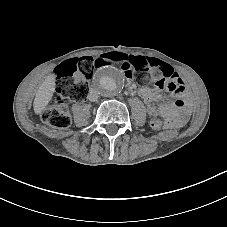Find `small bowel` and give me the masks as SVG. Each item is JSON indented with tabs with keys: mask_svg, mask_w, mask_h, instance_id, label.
<instances>
[{
	"mask_svg": "<svg viewBox=\"0 0 227 227\" xmlns=\"http://www.w3.org/2000/svg\"><path fill=\"white\" fill-rule=\"evenodd\" d=\"M183 90L180 93L184 92ZM139 95L147 102H155L156 105L148 106V114L153 117L166 116L174 120L176 124H182L188 117L189 110L187 104L183 99H178L174 104H166L162 102L161 96L157 93L156 89L149 87H141Z\"/></svg>",
	"mask_w": 227,
	"mask_h": 227,
	"instance_id": "1",
	"label": "small bowel"
}]
</instances>
